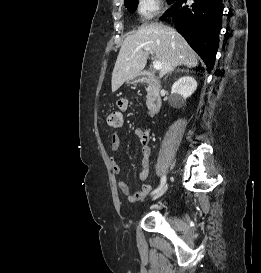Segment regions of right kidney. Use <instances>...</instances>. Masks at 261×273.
<instances>
[{
	"mask_svg": "<svg viewBox=\"0 0 261 273\" xmlns=\"http://www.w3.org/2000/svg\"><path fill=\"white\" fill-rule=\"evenodd\" d=\"M197 89V82L191 76H184L178 79L171 89L172 100L183 103Z\"/></svg>",
	"mask_w": 261,
	"mask_h": 273,
	"instance_id": "obj_1",
	"label": "right kidney"
}]
</instances>
